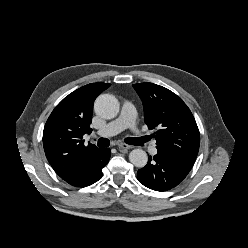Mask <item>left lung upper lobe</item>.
I'll list each match as a JSON object with an SVG mask.
<instances>
[{
	"label": "left lung upper lobe",
	"mask_w": 248,
	"mask_h": 248,
	"mask_svg": "<svg viewBox=\"0 0 248 248\" xmlns=\"http://www.w3.org/2000/svg\"><path fill=\"white\" fill-rule=\"evenodd\" d=\"M133 87L143 102L145 123L149 129L157 130L158 151L195 162L200 134L187 105L162 86L145 82Z\"/></svg>",
	"instance_id": "1"
}]
</instances>
